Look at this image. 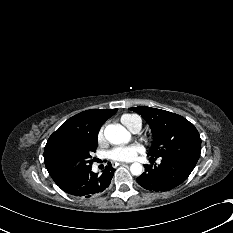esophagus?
<instances>
[{
	"mask_svg": "<svg viewBox=\"0 0 233 233\" xmlns=\"http://www.w3.org/2000/svg\"><path fill=\"white\" fill-rule=\"evenodd\" d=\"M120 165H126V164H128V163H124V162H121V163H119Z\"/></svg>",
	"mask_w": 233,
	"mask_h": 233,
	"instance_id": "obj_1",
	"label": "esophagus"
}]
</instances>
